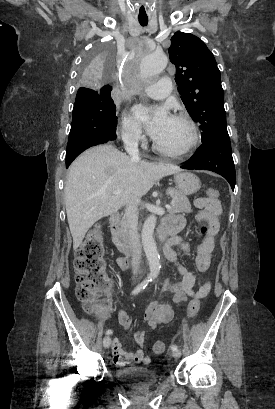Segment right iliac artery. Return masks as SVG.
<instances>
[{"instance_id":"obj_1","label":"right iliac artery","mask_w":275,"mask_h":409,"mask_svg":"<svg viewBox=\"0 0 275 409\" xmlns=\"http://www.w3.org/2000/svg\"><path fill=\"white\" fill-rule=\"evenodd\" d=\"M151 281V279H145L143 280L133 291L132 294H138L141 290L145 289V287L148 285V282ZM107 335L112 334L111 330L106 331Z\"/></svg>"}]
</instances>
